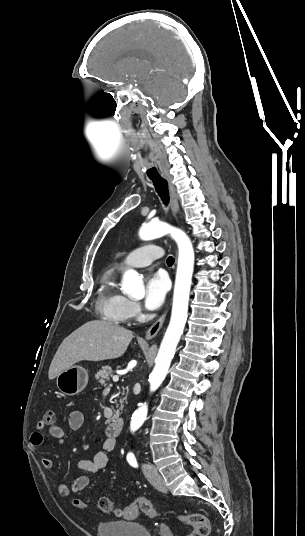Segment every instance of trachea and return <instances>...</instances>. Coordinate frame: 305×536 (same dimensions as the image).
Here are the masks:
<instances>
[{
    "label": "trachea",
    "instance_id": "trachea-1",
    "mask_svg": "<svg viewBox=\"0 0 305 536\" xmlns=\"http://www.w3.org/2000/svg\"><path fill=\"white\" fill-rule=\"evenodd\" d=\"M150 180H152L153 185L156 189V192L158 193L164 205H168L169 200H170L169 191H168V182L165 180V178H162V177H153V178H150ZM174 261H175V258H173V256H168L166 260L168 266H172Z\"/></svg>",
    "mask_w": 305,
    "mask_h": 536
}]
</instances>
